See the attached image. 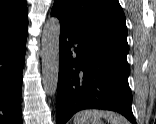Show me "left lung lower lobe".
<instances>
[{
	"label": "left lung lower lobe",
	"instance_id": "0a47b994",
	"mask_svg": "<svg viewBox=\"0 0 156 124\" xmlns=\"http://www.w3.org/2000/svg\"><path fill=\"white\" fill-rule=\"evenodd\" d=\"M127 53L60 21L57 124H65L83 109L113 110L136 124Z\"/></svg>",
	"mask_w": 156,
	"mask_h": 124
}]
</instances>
